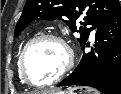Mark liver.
I'll use <instances>...</instances> for the list:
<instances>
[{
    "label": "liver",
    "mask_w": 121,
    "mask_h": 94,
    "mask_svg": "<svg viewBox=\"0 0 121 94\" xmlns=\"http://www.w3.org/2000/svg\"><path fill=\"white\" fill-rule=\"evenodd\" d=\"M55 91H42V92H36V93H33V94H54Z\"/></svg>",
    "instance_id": "liver-1"
}]
</instances>
